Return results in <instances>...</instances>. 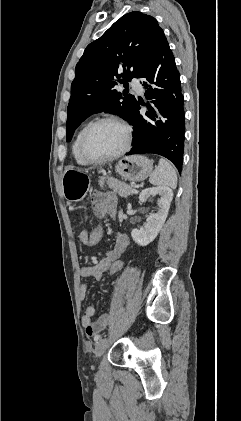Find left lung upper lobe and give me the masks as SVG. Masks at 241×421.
<instances>
[{
	"label": "left lung upper lobe",
	"mask_w": 241,
	"mask_h": 421,
	"mask_svg": "<svg viewBox=\"0 0 241 421\" xmlns=\"http://www.w3.org/2000/svg\"><path fill=\"white\" fill-rule=\"evenodd\" d=\"M161 30L154 17L134 11L122 16L86 47L71 84L67 141L93 113L107 111L131 120L137 100L127 89L123 93L115 90L116 81L128 88L127 80L137 77Z\"/></svg>",
	"instance_id": "left-lung-upper-lobe-1"
}]
</instances>
